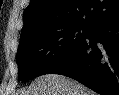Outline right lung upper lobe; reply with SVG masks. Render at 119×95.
<instances>
[{
  "mask_svg": "<svg viewBox=\"0 0 119 95\" xmlns=\"http://www.w3.org/2000/svg\"><path fill=\"white\" fill-rule=\"evenodd\" d=\"M119 16V0H30L23 13L21 37L49 25L93 27Z\"/></svg>",
  "mask_w": 119,
  "mask_h": 95,
  "instance_id": "1",
  "label": "right lung upper lobe"
}]
</instances>
